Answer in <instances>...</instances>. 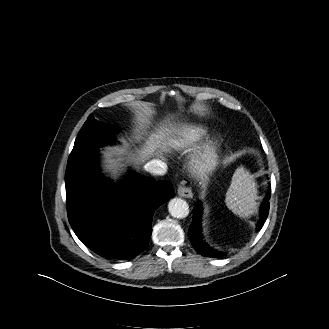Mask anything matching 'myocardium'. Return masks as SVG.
<instances>
[{"instance_id": "1", "label": "myocardium", "mask_w": 329, "mask_h": 329, "mask_svg": "<svg viewBox=\"0 0 329 329\" xmlns=\"http://www.w3.org/2000/svg\"><path fill=\"white\" fill-rule=\"evenodd\" d=\"M221 143L210 139L201 145L193 154L189 168L193 175L203 177L213 172L220 159Z\"/></svg>"}]
</instances>
